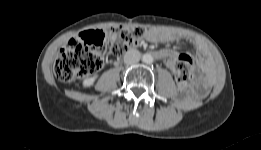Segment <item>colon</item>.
I'll list each match as a JSON object with an SVG mask.
<instances>
[{
  "label": "colon",
  "mask_w": 261,
  "mask_h": 150,
  "mask_svg": "<svg viewBox=\"0 0 261 150\" xmlns=\"http://www.w3.org/2000/svg\"><path fill=\"white\" fill-rule=\"evenodd\" d=\"M147 30L139 26H118L106 31L93 30L72 38L64 46L54 64V73L60 81L83 78L99 70L107 52L120 56L138 45ZM166 65L174 72L182 86L192 79V60L186 54L167 59Z\"/></svg>",
  "instance_id": "colon-1"
}]
</instances>
